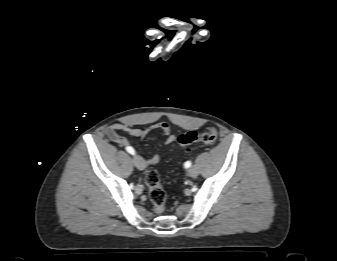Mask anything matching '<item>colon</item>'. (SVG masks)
<instances>
[{"label":"colon","mask_w":337,"mask_h":261,"mask_svg":"<svg viewBox=\"0 0 337 261\" xmlns=\"http://www.w3.org/2000/svg\"><path fill=\"white\" fill-rule=\"evenodd\" d=\"M217 139V130L209 126L201 133L190 131L178 137L181 148H188L193 144H211ZM145 184L149 190V197L157 214L165 209L166 193L160 184L159 174L156 170H148L145 174Z\"/></svg>","instance_id":"obj_1"}]
</instances>
